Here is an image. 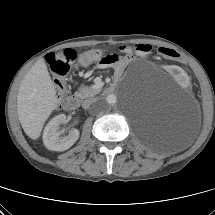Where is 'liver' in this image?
I'll return each mask as SVG.
<instances>
[{"label": "liver", "mask_w": 215, "mask_h": 215, "mask_svg": "<svg viewBox=\"0 0 215 215\" xmlns=\"http://www.w3.org/2000/svg\"><path fill=\"white\" fill-rule=\"evenodd\" d=\"M57 103L46 63L39 59L24 76L17 95V114L27 136L34 140L39 138Z\"/></svg>", "instance_id": "6515ba94"}]
</instances>
